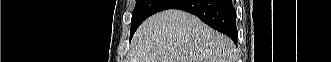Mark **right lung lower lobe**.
Here are the masks:
<instances>
[{"mask_svg": "<svg viewBox=\"0 0 331 62\" xmlns=\"http://www.w3.org/2000/svg\"><path fill=\"white\" fill-rule=\"evenodd\" d=\"M167 9H179L196 15L237 45L236 11L232 0H172L163 8Z\"/></svg>", "mask_w": 331, "mask_h": 62, "instance_id": "98d812e1", "label": "right lung lower lobe"}]
</instances>
